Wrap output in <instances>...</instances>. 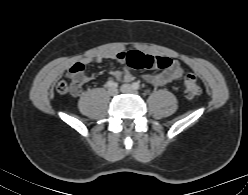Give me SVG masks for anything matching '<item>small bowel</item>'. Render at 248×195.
<instances>
[{"label":"small bowel","mask_w":248,"mask_h":195,"mask_svg":"<svg viewBox=\"0 0 248 195\" xmlns=\"http://www.w3.org/2000/svg\"><path fill=\"white\" fill-rule=\"evenodd\" d=\"M124 52H118L116 54L105 56V55H93L83 58L80 62L74 64L70 69L69 72H72L76 67H81L84 69V67L90 63L93 62H99L105 59H114L118 62L124 63V60L122 58H119L122 56ZM183 75V68L181 64L174 60L172 61V64L169 68L158 72V73H146L144 74L143 78L145 81L156 85V86H164L167 85L178 78H180ZM119 77L122 81L129 83L134 79V75L130 71V69L127 66H124L122 69V72L119 74ZM92 78L90 75H85L83 73V81L87 82Z\"/></svg>","instance_id":"1"}]
</instances>
